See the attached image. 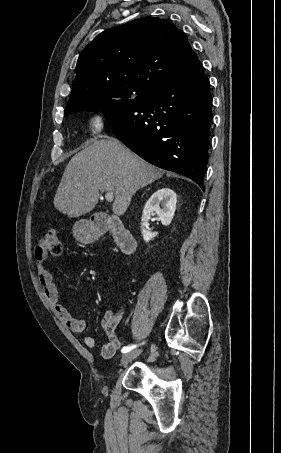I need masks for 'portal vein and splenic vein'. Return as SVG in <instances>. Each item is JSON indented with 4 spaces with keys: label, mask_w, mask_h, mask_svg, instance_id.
Listing matches in <instances>:
<instances>
[{
    "label": "portal vein and splenic vein",
    "mask_w": 281,
    "mask_h": 453,
    "mask_svg": "<svg viewBox=\"0 0 281 453\" xmlns=\"http://www.w3.org/2000/svg\"><path fill=\"white\" fill-rule=\"evenodd\" d=\"M105 198L106 200H108V202H111V200H113L114 198V192H106Z\"/></svg>",
    "instance_id": "portal-vein-and-splenic-vein-1"
}]
</instances>
